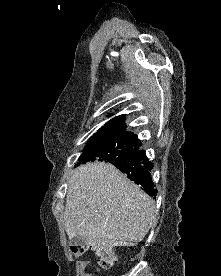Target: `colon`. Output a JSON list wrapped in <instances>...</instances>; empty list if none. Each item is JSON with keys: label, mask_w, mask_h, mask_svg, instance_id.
Here are the masks:
<instances>
[{"label": "colon", "mask_w": 221, "mask_h": 276, "mask_svg": "<svg viewBox=\"0 0 221 276\" xmlns=\"http://www.w3.org/2000/svg\"><path fill=\"white\" fill-rule=\"evenodd\" d=\"M88 247L85 245H72L70 251L74 256H81L86 253ZM91 250L99 259V265L102 269L110 268L116 262V256L111 248L107 246H93Z\"/></svg>", "instance_id": "colon-1"}]
</instances>
